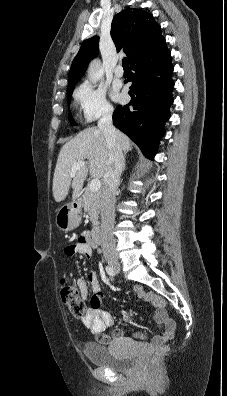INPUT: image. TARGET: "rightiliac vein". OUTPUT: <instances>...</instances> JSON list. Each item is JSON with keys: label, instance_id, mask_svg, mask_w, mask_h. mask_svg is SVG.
<instances>
[{"label": "right iliac vein", "instance_id": "63e3f726", "mask_svg": "<svg viewBox=\"0 0 227 396\" xmlns=\"http://www.w3.org/2000/svg\"><path fill=\"white\" fill-rule=\"evenodd\" d=\"M109 265L112 267V268H117L119 265H118V263L116 262V261H109Z\"/></svg>", "mask_w": 227, "mask_h": 396}]
</instances>
